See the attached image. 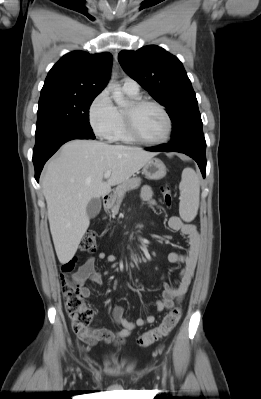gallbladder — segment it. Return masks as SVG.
<instances>
[{
  "label": "gallbladder",
  "instance_id": "gallbladder-1",
  "mask_svg": "<svg viewBox=\"0 0 261 399\" xmlns=\"http://www.w3.org/2000/svg\"><path fill=\"white\" fill-rule=\"evenodd\" d=\"M100 209L101 200L99 198H92L86 207V212L90 218H94L99 214Z\"/></svg>",
  "mask_w": 261,
  "mask_h": 399
}]
</instances>
